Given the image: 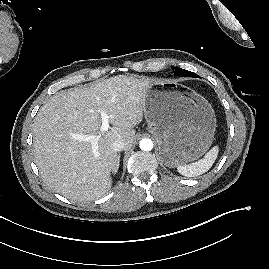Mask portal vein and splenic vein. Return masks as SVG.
I'll return each mask as SVG.
<instances>
[{
	"label": "portal vein and splenic vein",
	"instance_id": "1",
	"mask_svg": "<svg viewBox=\"0 0 269 269\" xmlns=\"http://www.w3.org/2000/svg\"><path fill=\"white\" fill-rule=\"evenodd\" d=\"M100 114H101V122H102V125H101V128H100V132L101 133H104V132L108 131V129H109L110 116L105 111H101ZM73 137L76 140L86 141V142L91 143L94 156L96 158L99 157L97 142H98L100 136L76 134Z\"/></svg>",
	"mask_w": 269,
	"mask_h": 269
}]
</instances>
